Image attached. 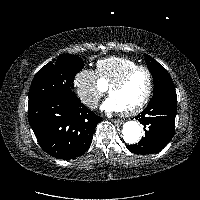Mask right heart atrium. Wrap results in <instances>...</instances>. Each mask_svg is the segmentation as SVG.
I'll list each match as a JSON object with an SVG mask.
<instances>
[{
  "label": "right heart atrium",
  "mask_w": 200,
  "mask_h": 200,
  "mask_svg": "<svg viewBox=\"0 0 200 200\" xmlns=\"http://www.w3.org/2000/svg\"><path fill=\"white\" fill-rule=\"evenodd\" d=\"M73 88L79 100L88 108H95L104 95L94 70L82 68L73 77Z\"/></svg>",
  "instance_id": "1"
}]
</instances>
